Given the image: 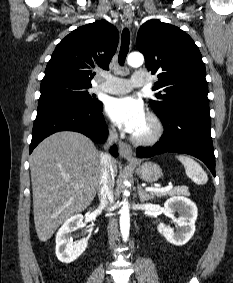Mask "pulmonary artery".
I'll list each match as a JSON object with an SVG mask.
<instances>
[{"instance_id": "obj_1", "label": "pulmonary artery", "mask_w": 233, "mask_h": 283, "mask_svg": "<svg viewBox=\"0 0 233 283\" xmlns=\"http://www.w3.org/2000/svg\"><path fill=\"white\" fill-rule=\"evenodd\" d=\"M105 82L98 86L100 91L109 94H126L135 87H142L148 83V78L142 72H135L130 79H124L105 74Z\"/></svg>"}]
</instances>
